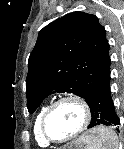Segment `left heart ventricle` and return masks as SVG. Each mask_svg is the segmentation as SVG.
Segmentation results:
<instances>
[{
    "instance_id": "obj_1",
    "label": "left heart ventricle",
    "mask_w": 124,
    "mask_h": 149,
    "mask_svg": "<svg viewBox=\"0 0 124 149\" xmlns=\"http://www.w3.org/2000/svg\"><path fill=\"white\" fill-rule=\"evenodd\" d=\"M83 120L81 108L72 102L57 106L47 120V132L54 139H64L78 130Z\"/></svg>"
}]
</instances>
